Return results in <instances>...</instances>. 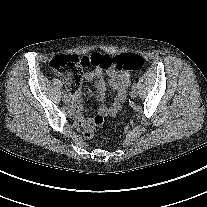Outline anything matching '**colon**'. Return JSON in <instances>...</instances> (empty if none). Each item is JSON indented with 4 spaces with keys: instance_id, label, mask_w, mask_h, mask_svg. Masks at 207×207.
<instances>
[{
    "instance_id": "colon-1",
    "label": "colon",
    "mask_w": 207,
    "mask_h": 207,
    "mask_svg": "<svg viewBox=\"0 0 207 207\" xmlns=\"http://www.w3.org/2000/svg\"><path fill=\"white\" fill-rule=\"evenodd\" d=\"M143 65V57L135 53L117 55L94 53L83 57L59 55L50 62V67L63 77L70 93L80 89L83 71L87 68L98 67L101 69L115 68L117 70L138 71L142 69ZM103 122L102 116H95L92 124L84 130L83 136L86 139H91L94 136L95 128L100 127Z\"/></svg>"
}]
</instances>
